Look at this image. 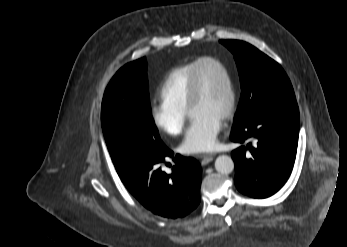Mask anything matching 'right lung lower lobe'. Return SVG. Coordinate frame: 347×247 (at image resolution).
I'll use <instances>...</instances> for the list:
<instances>
[{
  "instance_id": "obj_1",
  "label": "right lung lower lobe",
  "mask_w": 347,
  "mask_h": 247,
  "mask_svg": "<svg viewBox=\"0 0 347 247\" xmlns=\"http://www.w3.org/2000/svg\"><path fill=\"white\" fill-rule=\"evenodd\" d=\"M167 158L176 164L169 174L159 166ZM113 163L129 192L154 214L183 217L200 202V164L193 158L174 156L165 145L158 153L133 147Z\"/></svg>"
}]
</instances>
